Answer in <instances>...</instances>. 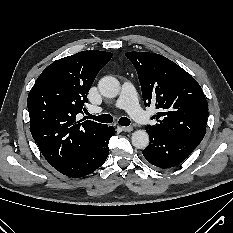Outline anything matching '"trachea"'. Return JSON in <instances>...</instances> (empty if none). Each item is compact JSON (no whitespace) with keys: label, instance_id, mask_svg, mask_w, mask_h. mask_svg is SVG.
Wrapping results in <instances>:
<instances>
[{"label":"trachea","instance_id":"trachea-1","mask_svg":"<svg viewBox=\"0 0 233 233\" xmlns=\"http://www.w3.org/2000/svg\"><path fill=\"white\" fill-rule=\"evenodd\" d=\"M87 115L89 119H93L101 123H112L113 122V117L109 114H102L99 116H95V115L88 113ZM118 123L122 126H129L131 121L127 117H121Z\"/></svg>","mask_w":233,"mask_h":233}]
</instances>
